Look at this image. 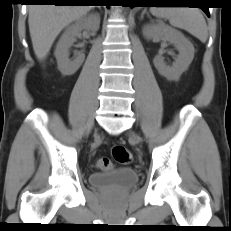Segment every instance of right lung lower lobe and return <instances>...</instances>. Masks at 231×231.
Masks as SVG:
<instances>
[{
  "label": "right lung lower lobe",
  "mask_w": 231,
  "mask_h": 231,
  "mask_svg": "<svg viewBox=\"0 0 231 231\" xmlns=\"http://www.w3.org/2000/svg\"><path fill=\"white\" fill-rule=\"evenodd\" d=\"M25 1L28 3H52L54 5H75L76 2H71V1H79V0H25Z\"/></svg>",
  "instance_id": "1"
}]
</instances>
